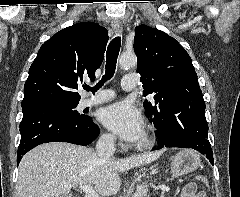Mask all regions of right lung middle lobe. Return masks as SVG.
Listing matches in <instances>:
<instances>
[{
  "instance_id": "dd1d6c3e",
  "label": "right lung middle lobe",
  "mask_w": 240,
  "mask_h": 197,
  "mask_svg": "<svg viewBox=\"0 0 240 197\" xmlns=\"http://www.w3.org/2000/svg\"><path fill=\"white\" fill-rule=\"evenodd\" d=\"M78 103L79 101H53L44 103L41 106L57 109L67 117L72 118L74 121L84 122L87 120V117L85 115H81L75 110Z\"/></svg>"
}]
</instances>
